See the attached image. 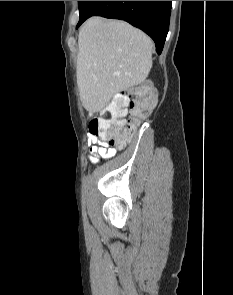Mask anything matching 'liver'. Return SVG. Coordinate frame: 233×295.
<instances>
[{
  "label": "liver",
  "instance_id": "1",
  "mask_svg": "<svg viewBox=\"0 0 233 295\" xmlns=\"http://www.w3.org/2000/svg\"><path fill=\"white\" fill-rule=\"evenodd\" d=\"M152 40L127 22L89 18L78 35L77 84L91 113L112 97L142 83L152 68Z\"/></svg>",
  "mask_w": 233,
  "mask_h": 295
}]
</instances>
